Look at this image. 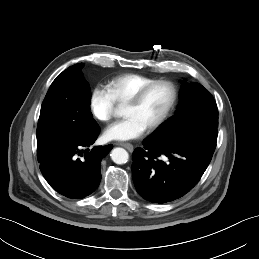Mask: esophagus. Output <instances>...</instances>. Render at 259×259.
Returning <instances> with one entry per match:
<instances>
[{
    "instance_id": "1",
    "label": "esophagus",
    "mask_w": 259,
    "mask_h": 259,
    "mask_svg": "<svg viewBox=\"0 0 259 259\" xmlns=\"http://www.w3.org/2000/svg\"><path fill=\"white\" fill-rule=\"evenodd\" d=\"M115 144L118 145V146H122V147L126 148V149H127L128 151H130V152H132L133 149H134L133 145L130 144V143L117 142V143H115Z\"/></svg>"
}]
</instances>
